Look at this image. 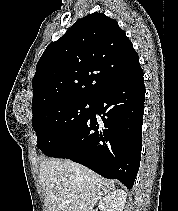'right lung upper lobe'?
<instances>
[{"mask_svg":"<svg viewBox=\"0 0 178 211\" xmlns=\"http://www.w3.org/2000/svg\"><path fill=\"white\" fill-rule=\"evenodd\" d=\"M140 68L138 54L116 20L88 14L50 43L38 61L33 115L55 102L93 99Z\"/></svg>","mask_w":178,"mask_h":211,"instance_id":"1","label":"right lung upper lobe"}]
</instances>
